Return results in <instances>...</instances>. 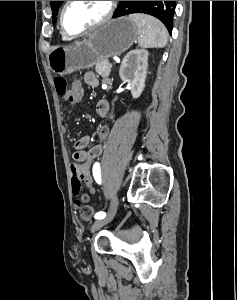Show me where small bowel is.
Wrapping results in <instances>:
<instances>
[{"label":"small bowel","instance_id":"1","mask_svg":"<svg viewBox=\"0 0 237 300\" xmlns=\"http://www.w3.org/2000/svg\"><path fill=\"white\" fill-rule=\"evenodd\" d=\"M84 82L89 87H95L98 85V78L96 74L88 72L84 75ZM82 88V83L78 80H75L71 84L70 92L73 93L76 90ZM96 113L101 119H106L109 115V103L106 100H99L96 104ZM110 133V127L107 123H104L100 126L99 129V139L101 142H105ZM91 139L89 136H83L78 139L74 144L75 152L73 154V159L75 163L71 164V172H78L81 176V179L85 182L86 186L89 189V192L92 194L94 189L92 187L93 177L91 172L92 162L97 159L102 153L101 144L90 145Z\"/></svg>","mask_w":237,"mask_h":300}]
</instances>
